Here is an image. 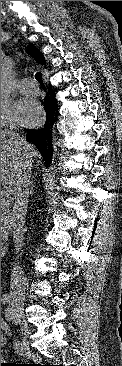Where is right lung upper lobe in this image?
<instances>
[{
    "instance_id": "cb5924a9",
    "label": "right lung upper lobe",
    "mask_w": 122,
    "mask_h": 366,
    "mask_svg": "<svg viewBox=\"0 0 122 366\" xmlns=\"http://www.w3.org/2000/svg\"><path fill=\"white\" fill-rule=\"evenodd\" d=\"M27 52L38 64H45L43 54L33 44L28 46Z\"/></svg>"
}]
</instances>
